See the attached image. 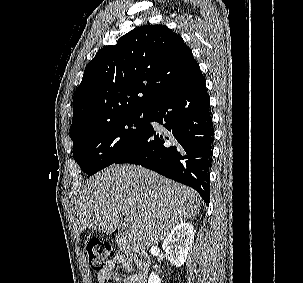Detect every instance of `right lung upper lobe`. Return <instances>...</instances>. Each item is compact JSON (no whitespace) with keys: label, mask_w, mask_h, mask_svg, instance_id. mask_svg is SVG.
I'll list each match as a JSON object with an SVG mask.
<instances>
[{"label":"right lung upper lobe","mask_w":303,"mask_h":283,"mask_svg":"<svg viewBox=\"0 0 303 283\" xmlns=\"http://www.w3.org/2000/svg\"><path fill=\"white\" fill-rule=\"evenodd\" d=\"M202 75L182 37L165 25H145L98 51L73 101L70 134L118 116L148 111Z\"/></svg>","instance_id":"obj_1"}]
</instances>
